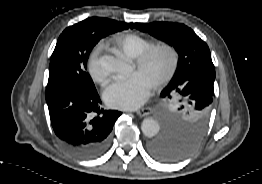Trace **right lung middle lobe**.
I'll return each instance as SVG.
<instances>
[{
  "instance_id": "right-lung-middle-lobe-1",
  "label": "right lung middle lobe",
  "mask_w": 262,
  "mask_h": 184,
  "mask_svg": "<svg viewBox=\"0 0 262 184\" xmlns=\"http://www.w3.org/2000/svg\"><path fill=\"white\" fill-rule=\"evenodd\" d=\"M128 28L127 25L99 17L67 27L60 35L52 54L47 86L74 85L95 90L94 83L86 72L92 48L101 38Z\"/></svg>"
}]
</instances>
